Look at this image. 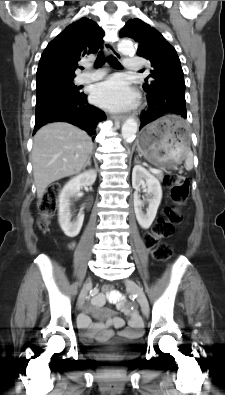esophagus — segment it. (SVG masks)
<instances>
[{"label":"esophagus","instance_id":"obj_1","mask_svg":"<svg viewBox=\"0 0 225 395\" xmlns=\"http://www.w3.org/2000/svg\"><path fill=\"white\" fill-rule=\"evenodd\" d=\"M109 50V53L111 55H113L116 58H121V54L116 50L115 46L113 44H108L106 45V47ZM115 120H119V121H124L126 119L125 115H114L112 117Z\"/></svg>","mask_w":225,"mask_h":395}]
</instances>
